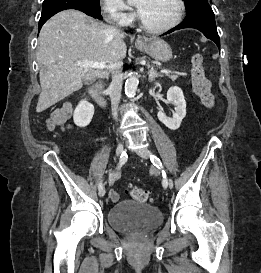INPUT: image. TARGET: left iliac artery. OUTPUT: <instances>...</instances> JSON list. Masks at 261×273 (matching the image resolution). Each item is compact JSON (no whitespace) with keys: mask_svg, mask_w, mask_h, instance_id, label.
<instances>
[{"mask_svg":"<svg viewBox=\"0 0 261 273\" xmlns=\"http://www.w3.org/2000/svg\"><path fill=\"white\" fill-rule=\"evenodd\" d=\"M150 159H151V162L154 164V166H156L159 169H162V175H163L162 185H163L164 188H167L168 181H167L166 173L163 170V165H162L160 159L158 157H156L155 155H151ZM169 182H170V187L172 188L173 187V181L169 180Z\"/></svg>","mask_w":261,"mask_h":273,"instance_id":"left-iliac-artery-1","label":"left iliac artery"}]
</instances>
